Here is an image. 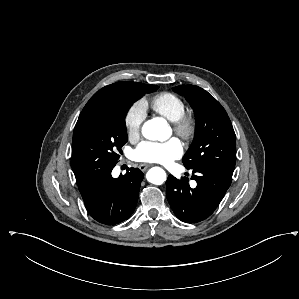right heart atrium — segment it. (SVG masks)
<instances>
[{"label":"right heart atrium","instance_id":"1","mask_svg":"<svg viewBox=\"0 0 299 299\" xmlns=\"http://www.w3.org/2000/svg\"><path fill=\"white\" fill-rule=\"evenodd\" d=\"M145 117L146 106L143 101H135L129 106L124 115V126L129 138H135L138 136Z\"/></svg>","mask_w":299,"mask_h":299}]
</instances>
